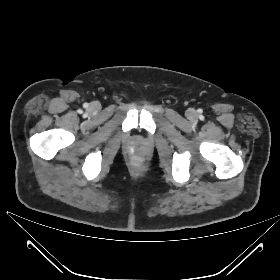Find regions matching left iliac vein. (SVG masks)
I'll use <instances>...</instances> for the list:
<instances>
[{
    "label": "left iliac vein",
    "mask_w": 280,
    "mask_h": 280,
    "mask_svg": "<svg viewBox=\"0 0 280 280\" xmlns=\"http://www.w3.org/2000/svg\"><path fill=\"white\" fill-rule=\"evenodd\" d=\"M195 111L194 110H192V109H189L188 111H187V116L189 117V118H194L195 117Z\"/></svg>",
    "instance_id": "1"
}]
</instances>
